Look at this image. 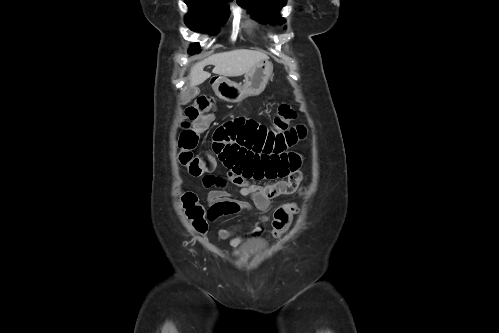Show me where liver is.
<instances>
[{"mask_svg":"<svg viewBox=\"0 0 499 333\" xmlns=\"http://www.w3.org/2000/svg\"><path fill=\"white\" fill-rule=\"evenodd\" d=\"M269 57L260 51L237 49L211 55L194 64L190 70V86L195 87L207 80L211 74L204 71L207 65H214L213 73L226 77L246 74L253 66Z\"/></svg>","mask_w":499,"mask_h":333,"instance_id":"1","label":"liver"}]
</instances>
